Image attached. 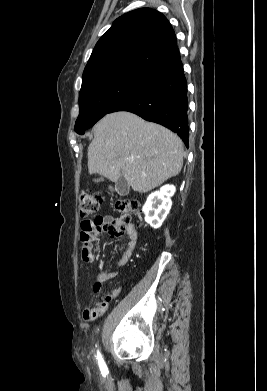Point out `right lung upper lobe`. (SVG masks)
I'll use <instances>...</instances> for the list:
<instances>
[{
  "mask_svg": "<svg viewBox=\"0 0 267 391\" xmlns=\"http://www.w3.org/2000/svg\"><path fill=\"white\" fill-rule=\"evenodd\" d=\"M180 58L174 30L164 15L140 8L117 18L97 42L84 69L82 84L111 72L150 74Z\"/></svg>",
  "mask_w": 267,
  "mask_h": 391,
  "instance_id": "1",
  "label": "right lung upper lobe"
}]
</instances>
